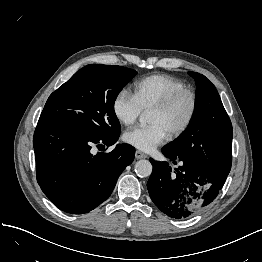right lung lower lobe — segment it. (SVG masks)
I'll list each match as a JSON object with an SVG mask.
<instances>
[{
    "label": "right lung lower lobe",
    "instance_id": "98d812e1",
    "mask_svg": "<svg viewBox=\"0 0 262 262\" xmlns=\"http://www.w3.org/2000/svg\"><path fill=\"white\" fill-rule=\"evenodd\" d=\"M119 133L100 136L61 122L38 121L33 138L37 181L59 209L87 213L110 196L118 177L132 163L135 149L117 144L109 153L94 155L92 147L113 145Z\"/></svg>",
    "mask_w": 262,
    "mask_h": 262
}]
</instances>
